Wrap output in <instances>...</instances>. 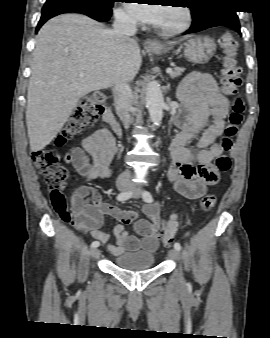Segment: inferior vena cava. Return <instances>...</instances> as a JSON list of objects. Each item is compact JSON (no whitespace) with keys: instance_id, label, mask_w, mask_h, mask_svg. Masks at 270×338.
I'll use <instances>...</instances> for the list:
<instances>
[{"instance_id":"602c4592","label":"inferior vena cava","mask_w":270,"mask_h":338,"mask_svg":"<svg viewBox=\"0 0 270 338\" xmlns=\"http://www.w3.org/2000/svg\"><path fill=\"white\" fill-rule=\"evenodd\" d=\"M136 20L124 12L115 13V21L113 24L112 34L117 39H129L136 34ZM113 96L115 107L120 120L126 127L132 122L130 108L132 107V91L129 84L125 81H119L113 87ZM131 178L130 171H126L120 175V181H127Z\"/></svg>"}]
</instances>
